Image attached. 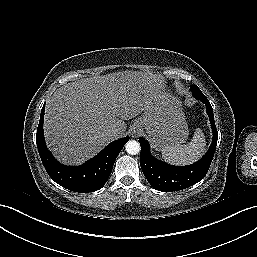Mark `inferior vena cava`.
<instances>
[{
	"mask_svg": "<svg viewBox=\"0 0 257 257\" xmlns=\"http://www.w3.org/2000/svg\"><path fill=\"white\" fill-rule=\"evenodd\" d=\"M106 136L109 137L110 139H114L117 137V132L115 130H108L106 132Z\"/></svg>",
	"mask_w": 257,
	"mask_h": 257,
	"instance_id": "inferior-vena-cava-1",
	"label": "inferior vena cava"
}]
</instances>
